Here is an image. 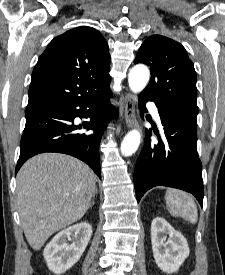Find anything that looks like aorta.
Wrapping results in <instances>:
<instances>
[{"label":"aorta","instance_id":"762f6f07","mask_svg":"<svg viewBox=\"0 0 225 275\" xmlns=\"http://www.w3.org/2000/svg\"><path fill=\"white\" fill-rule=\"evenodd\" d=\"M150 78V71L145 65L134 66L128 75V83L131 91L141 92L147 85ZM141 135L138 130L127 133L121 143V153L123 156H131L136 152L140 144Z\"/></svg>","mask_w":225,"mask_h":275}]
</instances>
